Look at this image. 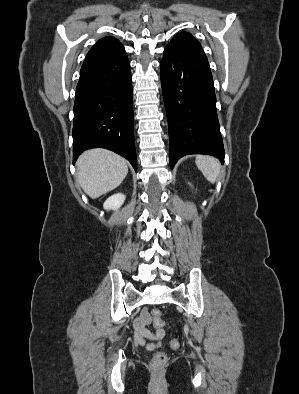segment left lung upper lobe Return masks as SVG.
I'll list each match as a JSON object with an SVG mask.
<instances>
[{
	"label": "left lung upper lobe",
	"instance_id": "1",
	"mask_svg": "<svg viewBox=\"0 0 299 394\" xmlns=\"http://www.w3.org/2000/svg\"><path fill=\"white\" fill-rule=\"evenodd\" d=\"M166 49L180 52L204 53L200 43L187 32L177 34L166 46Z\"/></svg>",
	"mask_w": 299,
	"mask_h": 394
}]
</instances>
